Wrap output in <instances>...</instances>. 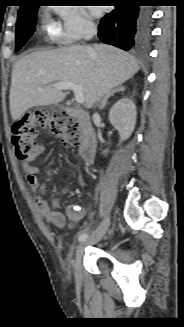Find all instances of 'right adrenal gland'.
<instances>
[{
  "label": "right adrenal gland",
  "instance_id": "1",
  "mask_svg": "<svg viewBox=\"0 0 184 327\" xmlns=\"http://www.w3.org/2000/svg\"><path fill=\"white\" fill-rule=\"evenodd\" d=\"M125 91V88L121 85H119L118 87L114 88L113 90H111L109 93H107L101 103V106H100V110H102L106 105H107V102H108V99L110 97H113L115 95V93H118V92H124Z\"/></svg>",
  "mask_w": 184,
  "mask_h": 327
}]
</instances>
